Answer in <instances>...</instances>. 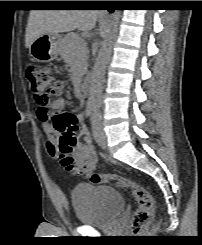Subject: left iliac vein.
Segmentation results:
<instances>
[{"instance_id": "obj_1", "label": "left iliac vein", "mask_w": 202, "mask_h": 245, "mask_svg": "<svg viewBox=\"0 0 202 245\" xmlns=\"http://www.w3.org/2000/svg\"><path fill=\"white\" fill-rule=\"evenodd\" d=\"M93 137L96 143L102 147H107V134L104 131L103 124L98 117H95L92 121Z\"/></svg>"}]
</instances>
